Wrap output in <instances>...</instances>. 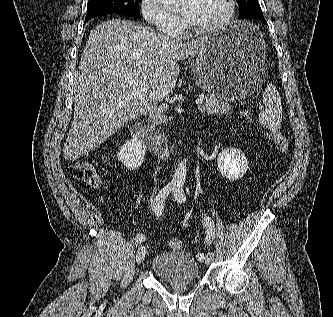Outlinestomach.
Wrapping results in <instances>:
<instances>
[{
    "label": "stomach",
    "instance_id": "1",
    "mask_svg": "<svg viewBox=\"0 0 333 317\" xmlns=\"http://www.w3.org/2000/svg\"><path fill=\"white\" fill-rule=\"evenodd\" d=\"M265 41L257 24L233 23L207 37L195 63L197 83L210 96L239 101L262 95Z\"/></svg>",
    "mask_w": 333,
    "mask_h": 317
}]
</instances>
